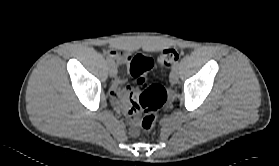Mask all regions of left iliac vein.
<instances>
[{
  "instance_id": "left-iliac-vein-1",
  "label": "left iliac vein",
  "mask_w": 279,
  "mask_h": 166,
  "mask_svg": "<svg viewBox=\"0 0 279 166\" xmlns=\"http://www.w3.org/2000/svg\"><path fill=\"white\" fill-rule=\"evenodd\" d=\"M178 77H179V75H178L177 68L172 69V71L170 73V77H169L171 84H176L178 82Z\"/></svg>"
}]
</instances>
